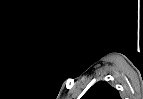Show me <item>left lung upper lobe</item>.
Wrapping results in <instances>:
<instances>
[{
  "mask_svg": "<svg viewBox=\"0 0 143 99\" xmlns=\"http://www.w3.org/2000/svg\"><path fill=\"white\" fill-rule=\"evenodd\" d=\"M81 99H120L118 90L105 81L94 84Z\"/></svg>",
  "mask_w": 143,
  "mask_h": 99,
  "instance_id": "1",
  "label": "left lung upper lobe"
}]
</instances>
